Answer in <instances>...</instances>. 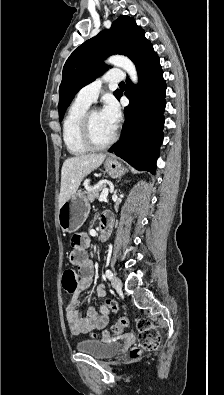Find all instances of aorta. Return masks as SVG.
<instances>
[{"mask_svg": "<svg viewBox=\"0 0 224 395\" xmlns=\"http://www.w3.org/2000/svg\"><path fill=\"white\" fill-rule=\"evenodd\" d=\"M107 63L122 68L126 71L133 83L137 84L138 75L133 62L126 56L114 55L107 59Z\"/></svg>", "mask_w": 224, "mask_h": 395, "instance_id": "aorta-1", "label": "aorta"}]
</instances>
